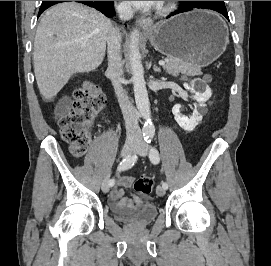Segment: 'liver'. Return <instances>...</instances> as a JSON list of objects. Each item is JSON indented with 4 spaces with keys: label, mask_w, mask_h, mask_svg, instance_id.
Returning <instances> with one entry per match:
<instances>
[{
    "label": "liver",
    "mask_w": 271,
    "mask_h": 266,
    "mask_svg": "<svg viewBox=\"0 0 271 266\" xmlns=\"http://www.w3.org/2000/svg\"><path fill=\"white\" fill-rule=\"evenodd\" d=\"M114 29L101 12L79 3L53 6L41 18L34 41V73L41 95L50 100L73 74L98 68Z\"/></svg>",
    "instance_id": "liver-1"
}]
</instances>
